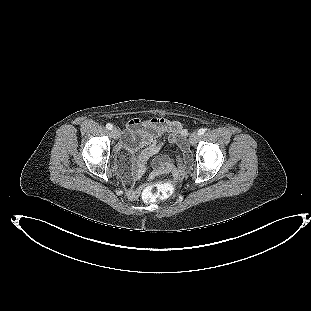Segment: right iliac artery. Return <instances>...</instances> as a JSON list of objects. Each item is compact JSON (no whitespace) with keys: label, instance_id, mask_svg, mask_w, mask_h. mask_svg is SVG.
I'll use <instances>...</instances> for the list:
<instances>
[{"label":"right iliac artery","instance_id":"1","mask_svg":"<svg viewBox=\"0 0 311 311\" xmlns=\"http://www.w3.org/2000/svg\"><path fill=\"white\" fill-rule=\"evenodd\" d=\"M112 127H113L112 124H110V123H107V124H106V128H107L108 130H111Z\"/></svg>","mask_w":311,"mask_h":311}]
</instances>
